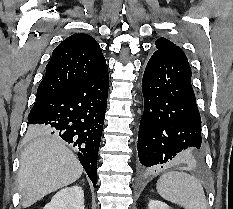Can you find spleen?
Listing matches in <instances>:
<instances>
[{"label":"spleen","instance_id":"obj_1","mask_svg":"<svg viewBox=\"0 0 233 209\" xmlns=\"http://www.w3.org/2000/svg\"><path fill=\"white\" fill-rule=\"evenodd\" d=\"M156 188L165 200L185 209H207L201 183L184 172H167L157 181Z\"/></svg>","mask_w":233,"mask_h":209}]
</instances>
